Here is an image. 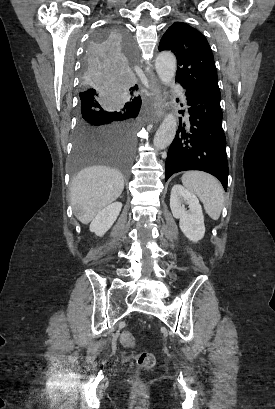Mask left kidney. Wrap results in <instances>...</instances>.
<instances>
[{
  "label": "left kidney",
  "mask_w": 275,
  "mask_h": 409,
  "mask_svg": "<svg viewBox=\"0 0 275 409\" xmlns=\"http://www.w3.org/2000/svg\"><path fill=\"white\" fill-rule=\"evenodd\" d=\"M185 205H189V211H186ZM170 209L173 217L180 219L179 227L187 239L193 243L203 239L204 217L200 202L193 192L181 184H174L170 196Z\"/></svg>",
  "instance_id": "1"
}]
</instances>
